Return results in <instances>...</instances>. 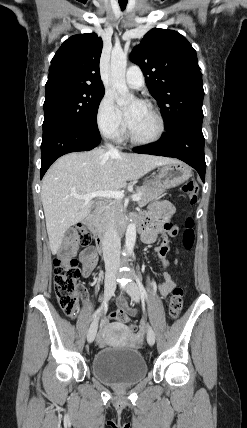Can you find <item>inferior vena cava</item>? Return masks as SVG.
Listing matches in <instances>:
<instances>
[{
	"instance_id": "obj_1",
	"label": "inferior vena cava",
	"mask_w": 247,
	"mask_h": 428,
	"mask_svg": "<svg viewBox=\"0 0 247 428\" xmlns=\"http://www.w3.org/2000/svg\"><path fill=\"white\" fill-rule=\"evenodd\" d=\"M110 153L118 154L119 151L111 144H106ZM103 257L107 270L117 268L120 265V237L112 223L107 225L102 240Z\"/></svg>"
}]
</instances>
